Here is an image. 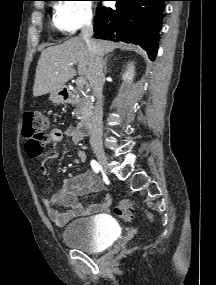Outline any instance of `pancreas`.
Segmentation results:
<instances>
[{
    "label": "pancreas",
    "mask_w": 216,
    "mask_h": 285,
    "mask_svg": "<svg viewBox=\"0 0 216 285\" xmlns=\"http://www.w3.org/2000/svg\"><path fill=\"white\" fill-rule=\"evenodd\" d=\"M78 98L76 99V108L74 109V115L76 117H85L90 111V101L86 97L85 92L77 91Z\"/></svg>",
    "instance_id": "1"
}]
</instances>
